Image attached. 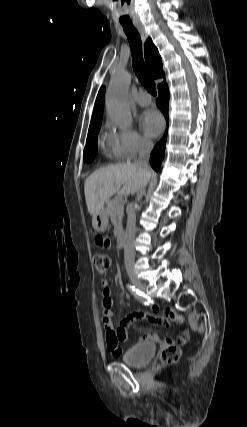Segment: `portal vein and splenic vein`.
I'll return each instance as SVG.
<instances>
[{
	"mask_svg": "<svg viewBox=\"0 0 247 427\" xmlns=\"http://www.w3.org/2000/svg\"><path fill=\"white\" fill-rule=\"evenodd\" d=\"M123 195H124V193L123 192H121L116 198H115V200L116 201H122V199H123Z\"/></svg>",
	"mask_w": 247,
	"mask_h": 427,
	"instance_id": "obj_1",
	"label": "portal vein and splenic vein"
}]
</instances>
